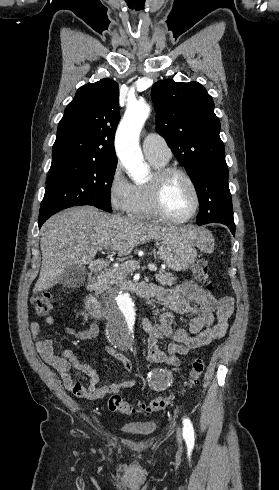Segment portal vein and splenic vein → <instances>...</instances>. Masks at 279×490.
<instances>
[{
  "instance_id": "portal-vein-and-splenic-vein-1",
  "label": "portal vein and splenic vein",
  "mask_w": 279,
  "mask_h": 490,
  "mask_svg": "<svg viewBox=\"0 0 279 490\" xmlns=\"http://www.w3.org/2000/svg\"><path fill=\"white\" fill-rule=\"evenodd\" d=\"M110 244H104L103 248H109ZM128 266H135V268H137V264L138 262H127ZM149 270H151V272H156L157 270V266H154V264H149L148 266Z\"/></svg>"
}]
</instances>
